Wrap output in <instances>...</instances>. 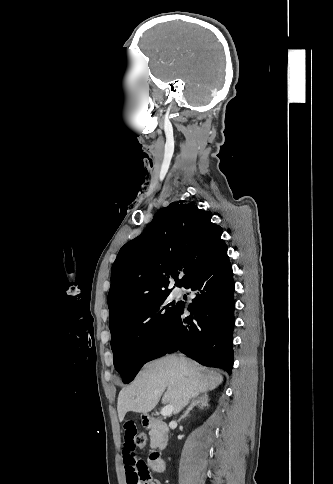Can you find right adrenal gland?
Returning a JSON list of instances; mask_svg holds the SVG:
<instances>
[{
  "instance_id": "2a0ac1e0",
  "label": "right adrenal gland",
  "mask_w": 333,
  "mask_h": 484,
  "mask_svg": "<svg viewBox=\"0 0 333 484\" xmlns=\"http://www.w3.org/2000/svg\"><path fill=\"white\" fill-rule=\"evenodd\" d=\"M208 402H209V397H208L207 393H201V394L195 396L191 405L188 407V409L184 413V415H182L180 417L179 421L184 419L195 406H198L200 409H203V407L208 406Z\"/></svg>"
}]
</instances>
